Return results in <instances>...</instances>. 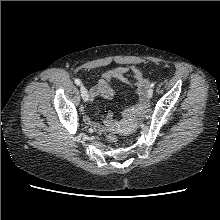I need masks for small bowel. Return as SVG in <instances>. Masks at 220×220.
<instances>
[{
  "label": "small bowel",
  "instance_id": "c3829d8e",
  "mask_svg": "<svg viewBox=\"0 0 220 220\" xmlns=\"http://www.w3.org/2000/svg\"><path fill=\"white\" fill-rule=\"evenodd\" d=\"M114 79H118L123 82H128L131 79L134 83V91L138 94L140 99L139 106L136 110L142 111L146 108V93L150 85V80L144 76L141 68L136 66L117 67L105 71L99 78L97 85L90 90V98L93 99L97 96H102L105 99H112L115 95V91L111 82ZM111 119L112 116L110 114L106 124H99L89 114H85L84 116L85 122L99 132H103L106 127L109 126Z\"/></svg>",
  "mask_w": 220,
  "mask_h": 220
}]
</instances>
